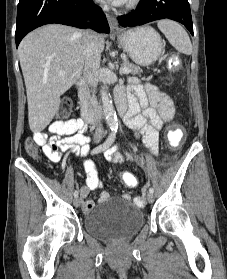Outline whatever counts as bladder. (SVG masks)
<instances>
[{
  "mask_svg": "<svg viewBox=\"0 0 227 279\" xmlns=\"http://www.w3.org/2000/svg\"><path fill=\"white\" fill-rule=\"evenodd\" d=\"M143 211L133 202L112 198L99 204L85 217L86 232L98 239H126L135 235L144 225Z\"/></svg>",
  "mask_w": 227,
  "mask_h": 279,
  "instance_id": "1",
  "label": "bladder"
}]
</instances>
